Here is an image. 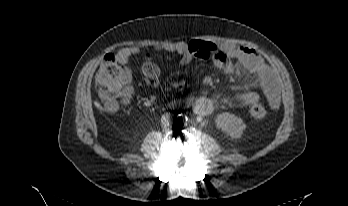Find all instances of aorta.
<instances>
[{
	"label": "aorta",
	"instance_id": "762f6f07",
	"mask_svg": "<svg viewBox=\"0 0 348 206\" xmlns=\"http://www.w3.org/2000/svg\"><path fill=\"white\" fill-rule=\"evenodd\" d=\"M177 120L179 121V123L185 124V123L188 122L189 118H188V116L186 114H179L177 116Z\"/></svg>",
	"mask_w": 348,
	"mask_h": 206
}]
</instances>
